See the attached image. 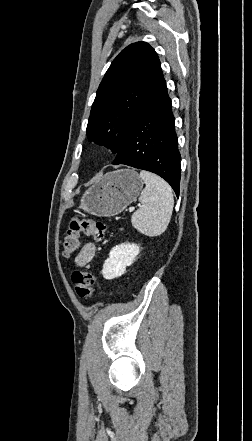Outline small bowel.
<instances>
[{"mask_svg": "<svg viewBox=\"0 0 252 441\" xmlns=\"http://www.w3.org/2000/svg\"><path fill=\"white\" fill-rule=\"evenodd\" d=\"M96 254V244L94 242H87L83 245L79 253L76 255L74 264L75 267L80 268L86 266L92 261Z\"/></svg>", "mask_w": 252, "mask_h": 441, "instance_id": "1", "label": "small bowel"}]
</instances>
